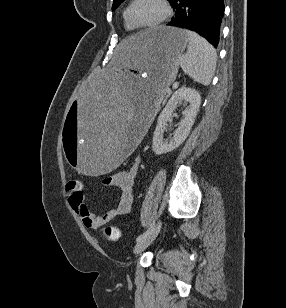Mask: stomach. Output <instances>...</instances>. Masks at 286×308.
I'll list each match as a JSON object with an SVG mask.
<instances>
[{"label": "stomach", "instance_id": "stomach-1", "mask_svg": "<svg viewBox=\"0 0 286 308\" xmlns=\"http://www.w3.org/2000/svg\"><path fill=\"white\" fill-rule=\"evenodd\" d=\"M188 43L185 30L167 26L124 37L63 118L62 151L72 173L108 177L122 168L153 125L154 107L175 80Z\"/></svg>", "mask_w": 286, "mask_h": 308}]
</instances>
